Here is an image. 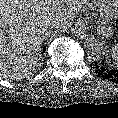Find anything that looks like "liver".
<instances>
[{
    "label": "liver",
    "mask_w": 118,
    "mask_h": 118,
    "mask_svg": "<svg viewBox=\"0 0 118 118\" xmlns=\"http://www.w3.org/2000/svg\"><path fill=\"white\" fill-rule=\"evenodd\" d=\"M79 7L78 0H0V77L28 76L51 24L66 25Z\"/></svg>",
    "instance_id": "obj_1"
}]
</instances>
